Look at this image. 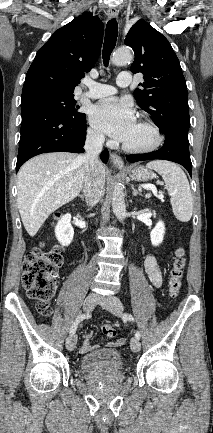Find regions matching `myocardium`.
I'll list each match as a JSON object with an SVG mask.
<instances>
[{"label": "myocardium", "instance_id": "myocardium-1", "mask_svg": "<svg viewBox=\"0 0 213 433\" xmlns=\"http://www.w3.org/2000/svg\"><path fill=\"white\" fill-rule=\"evenodd\" d=\"M139 122L150 130L153 137L152 141L149 144L142 147H131L123 143L122 148L126 152L133 153V154L148 153L157 149L163 141V135L161 133V130L153 121H151L148 118L142 117L139 120Z\"/></svg>", "mask_w": 213, "mask_h": 433}]
</instances>
